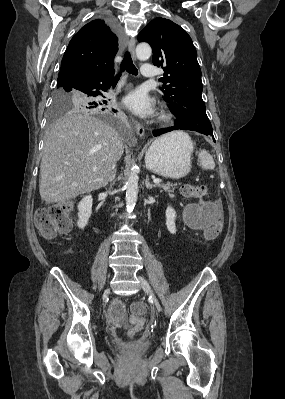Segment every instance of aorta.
<instances>
[{"label": "aorta", "mask_w": 285, "mask_h": 399, "mask_svg": "<svg viewBox=\"0 0 285 399\" xmlns=\"http://www.w3.org/2000/svg\"><path fill=\"white\" fill-rule=\"evenodd\" d=\"M152 50L149 44L140 43L136 47V55L139 59H147L151 56ZM138 167L133 165L131 168L130 175L126 183V208L128 212H131L137 201L138 195Z\"/></svg>", "instance_id": "obj_1"}]
</instances>
